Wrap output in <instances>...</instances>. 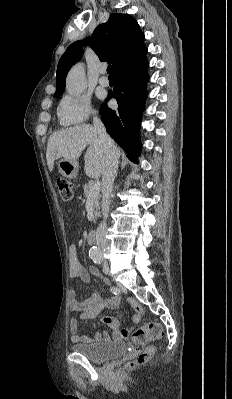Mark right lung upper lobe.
Instances as JSON below:
<instances>
[{
  "mask_svg": "<svg viewBox=\"0 0 232 399\" xmlns=\"http://www.w3.org/2000/svg\"><path fill=\"white\" fill-rule=\"evenodd\" d=\"M89 43L101 61L112 63L114 72L124 64L147 53L144 34L137 21L128 14L113 13L106 23L94 30L90 39L71 44L59 60L56 71V92L63 94L65 79L71 66L83 54L82 45Z\"/></svg>",
  "mask_w": 232,
  "mask_h": 399,
  "instance_id": "right-lung-upper-lobe-1",
  "label": "right lung upper lobe"
}]
</instances>
